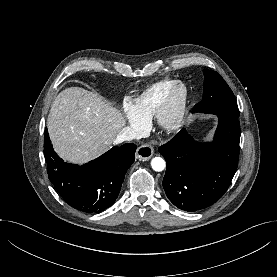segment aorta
Instances as JSON below:
<instances>
[{
    "instance_id": "aorta-1",
    "label": "aorta",
    "mask_w": 277,
    "mask_h": 277,
    "mask_svg": "<svg viewBox=\"0 0 277 277\" xmlns=\"http://www.w3.org/2000/svg\"><path fill=\"white\" fill-rule=\"evenodd\" d=\"M151 166L154 171L160 172L163 171L166 164L165 161L161 157H155L151 161Z\"/></svg>"
}]
</instances>
